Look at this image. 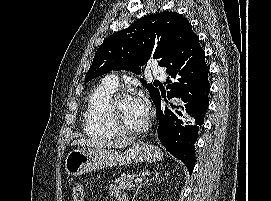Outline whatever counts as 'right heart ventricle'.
Here are the masks:
<instances>
[{
  "mask_svg": "<svg viewBox=\"0 0 271 201\" xmlns=\"http://www.w3.org/2000/svg\"><path fill=\"white\" fill-rule=\"evenodd\" d=\"M115 89L101 85L89 95L83 115L84 131L89 137L110 139L120 133L110 122L106 106Z\"/></svg>",
  "mask_w": 271,
  "mask_h": 201,
  "instance_id": "obj_1",
  "label": "right heart ventricle"
}]
</instances>
